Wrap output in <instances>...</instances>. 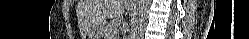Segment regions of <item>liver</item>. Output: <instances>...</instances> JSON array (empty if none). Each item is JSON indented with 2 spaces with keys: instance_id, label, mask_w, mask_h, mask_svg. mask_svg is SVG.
<instances>
[{
  "instance_id": "obj_1",
  "label": "liver",
  "mask_w": 249,
  "mask_h": 39,
  "mask_svg": "<svg viewBox=\"0 0 249 39\" xmlns=\"http://www.w3.org/2000/svg\"><path fill=\"white\" fill-rule=\"evenodd\" d=\"M124 0H80V18L85 34L92 24L118 18L124 12Z\"/></svg>"
}]
</instances>
